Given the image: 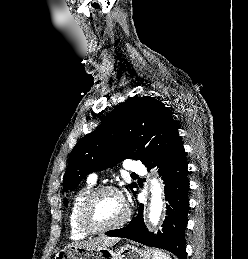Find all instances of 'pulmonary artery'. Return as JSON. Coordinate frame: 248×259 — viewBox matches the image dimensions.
<instances>
[{
  "label": "pulmonary artery",
  "mask_w": 248,
  "mask_h": 259,
  "mask_svg": "<svg viewBox=\"0 0 248 259\" xmlns=\"http://www.w3.org/2000/svg\"><path fill=\"white\" fill-rule=\"evenodd\" d=\"M125 169L132 173H142L144 171V166L138 161L129 160L125 166ZM88 181L94 184L97 181V174L91 173L88 176Z\"/></svg>",
  "instance_id": "1"
}]
</instances>
